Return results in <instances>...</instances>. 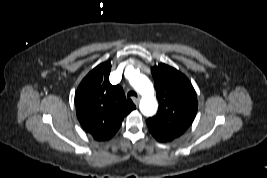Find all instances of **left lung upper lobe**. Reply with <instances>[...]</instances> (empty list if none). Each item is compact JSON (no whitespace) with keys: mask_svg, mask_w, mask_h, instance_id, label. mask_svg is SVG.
Masks as SVG:
<instances>
[{"mask_svg":"<svg viewBox=\"0 0 267 178\" xmlns=\"http://www.w3.org/2000/svg\"><path fill=\"white\" fill-rule=\"evenodd\" d=\"M151 72L159 110L146 122L157 141L170 142L192 124L198 107L196 92L188 78L169 65H155Z\"/></svg>","mask_w":267,"mask_h":178,"instance_id":"obj_1","label":"left lung upper lobe"}]
</instances>
